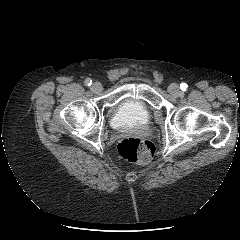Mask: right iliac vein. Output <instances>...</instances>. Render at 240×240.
I'll use <instances>...</instances> for the list:
<instances>
[{
  "instance_id": "1",
  "label": "right iliac vein",
  "mask_w": 240,
  "mask_h": 240,
  "mask_svg": "<svg viewBox=\"0 0 240 240\" xmlns=\"http://www.w3.org/2000/svg\"><path fill=\"white\" fill-rule=\"evenodd\" d=\"M103 89L102 85L99 82H95L91 86V91L94 93H99Z\"/></svg>"
}]
</instances>
